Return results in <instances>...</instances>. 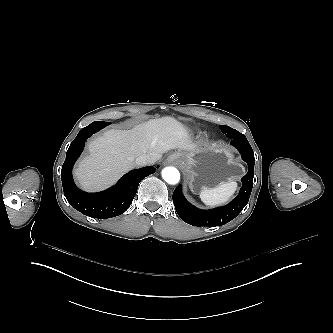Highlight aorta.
Instances as JSON below:
<instances>
[{"label":"aorta","mask_w":333,"mask_h":333,"mask_svg":"<svg viewBox=\"0 0 333 333\" xmlns=\"http://www.w3.org/2000/svg\"><path fill=\"white\" fill-rule=\"evenodd\" d=\"M162 177L169 185H177L180 182V172L175 167H166L162 171Z\"/></svg>","instance_id":"762f6f07"}]
</instances>
